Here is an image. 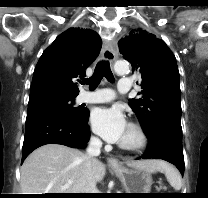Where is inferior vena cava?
I'll use <instances>...</instances> for the list:
<instances>
[{
  "label": "inferior vena cava",
  "mask_w": 208,
  "mask_h": 198,
  "mask_svg": "<svg viewBox=\"0 0 208 198\" xmlns=\"http://www.w3.org/2000/svg\"><path fill=\"white\" fill-rule=\"evenodd\" d=\"M102 142L97 137H91L85 154V178L86 188L85 193H96V182L92 176V163L96 160V157L100 155V149Z\"/></svg>",
  "instance_id": "602c4592"
}]
</instances>
